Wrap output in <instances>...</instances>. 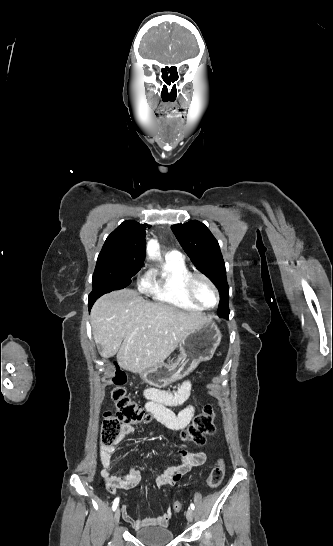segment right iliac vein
<instances>
[{
	"label": "right iliac vein",
	"instance_id": "right-iliac-vein-1",
	"mask_svg": "<svg viewBox=\"0 0 333 546\" xmlns=\"http://www.w3.org/2000/svg\"><path fill=\"white\" fill-rule=\"evenodd\" d=\"M120 514H121L120 509L117 508L116 511H115V513H114V524H115V525H117L118 522H119Z\"/></svg>",
	"mask_w": 333,
	"mask_h": 546
}]
</instances>
